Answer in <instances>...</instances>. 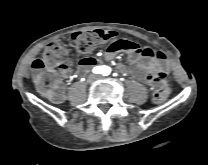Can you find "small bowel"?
Here are the masks:
<instances>
[{"mask_svg":"<svg viewBox=\"0 0 208 165\" xmlns=\"http://www.w3.org/2000/svg\"><path fill=\"white\" fill-rule=\"evenodd\" d=\"M103 42L111 41L108 45L105 56L112 60L119 53H125L130 65L117 64V69L122 74H131L136 78L143 79L148 86L155 87L163 83L170 69V62L161 51L150 48H142L136 42L127 39H117V33L113 30H105ZM101 61L100 57L92 56L79 57L77 62L81 67L95 66ZM60 75L67 78L70 75V68L60 70Z\"/></svg>","mask_w":208,"mask_h":165,"instance_id":"small-bowel-1","label":"small bowel"}]
</instances>
